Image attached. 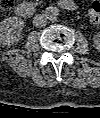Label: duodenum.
Listing matches in <instances>:
<instances>
[{
  "label": "duodenum",
  "instance_id": "duodenum-1",
  "mask_svg": "<svg viewBox=\"0 0 100 118\" xmlns=\"http://www.w3.org/2000/svg\"><path fill=\"white\" fill-rule=\"evenodd\" d=\"M59 6L72 10L75 8V4L72 0H60ZM16 14L21 17H31L36 12V6L32 2H20L16 5L15 8Z\"/></svg>",
  "mask_w": 100,
  "mask_h": 118
}]
</instances>
